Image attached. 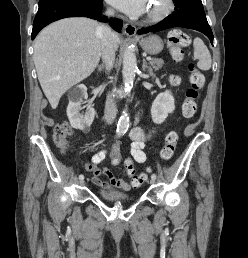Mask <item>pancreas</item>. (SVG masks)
Wrapping results in <instances>:
<instances>
[{"label": "pancreas", "mask_w": 248, "mask_h": 258, "mask_svg": "<svg viewBox=\"0 0 248 258\" xmlns=\"http://www.w3.org/2000/svg\"><path fill=\"white\" fill-rule=\"evenodd\" d=\"M163 60L162 59H156L153 58L151 61H149V65L154 69V70H158L159 68L162 67L163 65Z\"/></svg>", "instance_id": "cf45deb5"}]
</instances>
